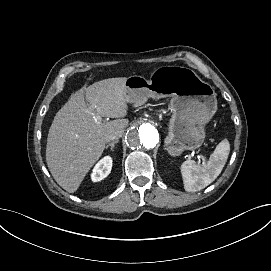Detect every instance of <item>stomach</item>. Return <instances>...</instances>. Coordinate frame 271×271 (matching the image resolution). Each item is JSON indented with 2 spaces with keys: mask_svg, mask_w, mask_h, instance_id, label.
<instances>
[{
  "mask_svg": "<svg viewBox=\"0 0 271 271\" xmlns=\"http://www.w3.org/2000/svg\"><path fill=\"white\" fill-rule=\"evenodd\" d=\"M125 97L135 105L143 104L149 97H171L173 114L165 146L172 156L199 148L205 139L204 127L217 111L213 87L185 67H160L149 80L131 76L125 82Z\"/></svg>",
  "mask_w": 271,
  "mask_h": 271,
  "instance_id": "stomach-1",
  "label": "stomach"
}]
</instances>
